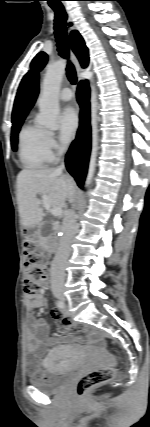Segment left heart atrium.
I'll return each mask as SVG.
<instances>
[{
    "label": "left heart atrium",
    "mask_w": 150,
    "mask_h": 427,
    "mask_svg": "<svg viewBox=\"0 0 150 427\" xmlns=\"http://www.w3.org/2000/svg\"><path fill=\"white\" fill-rule=\"evenodd\" d=\"M60 138L63 142H69L78 127V116L72 107H66L60 114Z\"/></svg>",
    "instance_id": "left-heart-atrium-1"
}]
</instances>
